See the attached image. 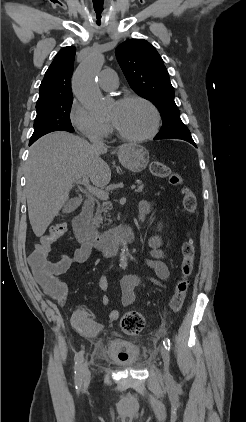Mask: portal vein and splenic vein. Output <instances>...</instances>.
<instances>
[{"label": "portal vein and splenic vein", "instance_id": "portal-vein-and-splenic-vein-1", "mask_svg": "<svg viewBox=\"0 0 246 422\" xmlns=\"http://www.w3.org/2000/svg\"><path fill=\"white\" fill-rule=\"evenodd\" d=\"M80 184H82L85 188H86V190L88 191V192H90L91 194H93L94 196H96L97 198H99V199H102V200H107L108 198H109V196H108V193L107 192H105V191H103V190H100V189H98V188H96V187H94V186H92V185H90V183H89V179H88V177L87 176H84L83 178H82V180H79L78 181ZM136 188V186L135 185H132L131 186V189H135Z\"/></svg>", "mask_w": 246, "mask_h": 422}]
</instances>
